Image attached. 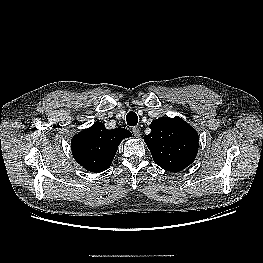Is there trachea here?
Here are the masks:
<instances>
[{"label": "trachea", "instance_id": "3493384b", "mask_svg": "<svg viewBox=\"0 0 263 263\" xmlns=\"http://www.w3.org/2000/svg\"><path fill=\"white\" fill-rule=\"evenodd\" d=\"M126 122L127 125L129 126H136L138 123V116L135 112L130 111L127 115H126Z\"/></svg>", "mask_w": 263, "mask_h": 263}]
</instances>
